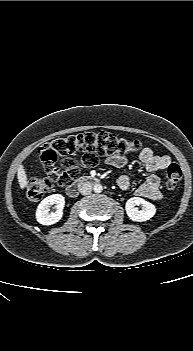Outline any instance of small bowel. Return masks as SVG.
<instances>
[{
    "mask_svg": "<svg viewBox=\"0 0 193 351\" xmlns=\"http://www.w3.org/2000/svg\"><path fill=\"white\" fill-rule=\"evenodd\" d=\"M139 159L146 171L149 172V175L135 189V195L154 201L161 200L160 179L156 172L162 171L168 166L170 163L169 156L157 155L151 148L145 147L140 151ZM105 163L113 167L121 168L127 165L128 159L124 155L113 154L105 157ZM117 184L121 190L126 191L131 186V177L123 175L118 178Z\"/></svg>",
    "mask_w": 193,
    "mask_h": 351,
    "instance_id": "small-bowel-1",
    "label": "small bowel"
}]
</instances>
